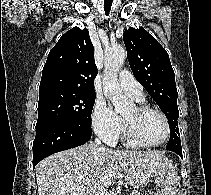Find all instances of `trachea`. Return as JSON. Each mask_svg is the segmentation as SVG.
<instances>
[{"instance_id":"trachea-1","label":"trachea","mask_w":211,"mask_h":195,"mask_svg":"<svg viewBox=\"0 0 211 195\" xmlns=\"http://www.w3.org/2000/svg\"><path fill=\"white\" fill-rule=\"evenodd\" d=\"M111 6H112V1L111 0H106L104 2V8H105V15L108 16L109 12L111 10Z\"/></svg>"}]
</instances>
